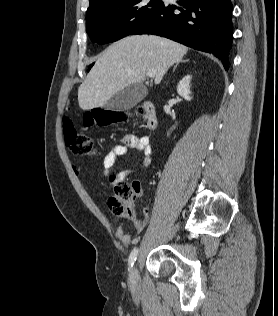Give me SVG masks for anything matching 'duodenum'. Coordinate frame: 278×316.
<instances>
[{
  "label": "duodenum",
  "mask_w": 278,
  "mask_h": 316,
  "mask_svg": "<svg viewBox=\"0 0 278 316\" xmlns=\"http://www.w3.org/2000/svg\"><path fill=\"white\" fill-rule=\"evenodd\" d=\"M145 115L146 126L150 130H154L158 125L156 108L150 101H145L142 105Z\"/></svg>",
  "instance_id": "1"
}]
</instances>
